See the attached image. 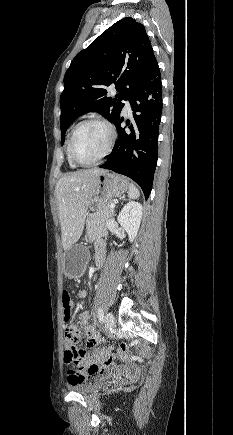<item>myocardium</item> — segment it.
Returning a JSON list of instances; mask_svg holds the SVG:
<instances>
[{
	"label": "myocardium",
	"mask_w": 233,
	"mask_h": 435,
	"mask_svg": "<svg viewBox=\"0 0 233 435\" xmlns=\"http://www.w3.org/2000/svg\"><path fill=\"white\" fill-rule=\"evenodd\" d=\"M91 123L99 124V125H102L103 127L106 128V130L108 132V142H107V145H106L104 151L101 153V155L96 160L91 161V162H82L76 157L75 152H74V146H73L74 136L81 126L86 125V124H91ZM115 137H116V134H115V131H114L112 125L108 121H106L105 119L99 118V117H90V118L83 119L74 126V128L72 129V131L70 133L69 141H68L69 157L71 158L72 162L78 167H92V166L98 165L110 153L111 148H112L113 143H114V140H115Z\"/></svg>",
	"instance_id": "obj_1"
}]
</instances>
